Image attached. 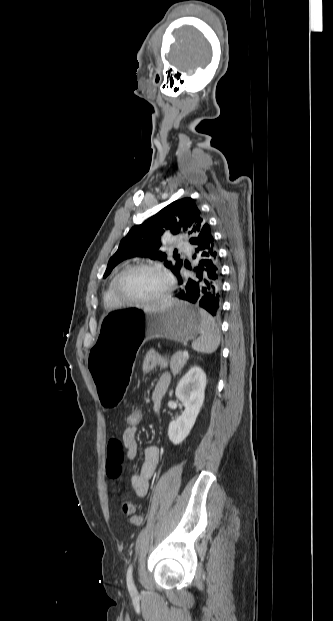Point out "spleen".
<instances>
[{"mask_svg":"<svg viewBox=\"0 0 333 621\" xmlns=\"http://www.w3.org/2000/svg\"><path fill=\"white\" fill-rule=\"evenodd\" d=\"M200 336L193 341L192 348L200 353L211 354L215 352L220 345V330L214 318L205 310H199Z\"/></svg>","mask_w":333,"mask_h":621,"instance_id":"obj_1","label":"spleen"}]
</instances>
